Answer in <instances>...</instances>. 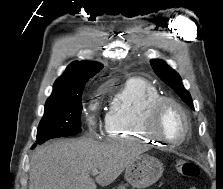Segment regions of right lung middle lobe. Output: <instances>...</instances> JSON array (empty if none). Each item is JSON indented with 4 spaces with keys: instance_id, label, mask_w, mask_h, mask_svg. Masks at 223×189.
Here are the masks:
<instances>
[{
    "instance_id": "1",
    "label": "right lung middle lobe",
    "mask_w": 223,
    "mask_h": 189,
    "mask_svg": "<svg viewBox=\"0 0 223 189\" xmlns=\"http://www.w3.org/2000/svg\"><path fill=\"white\" fill-rule=\"evenodd\" d=\"M82 92L71 95H51L45 104L38 126L37 144L50 138L75 135L81 132Z\"/></svg>"
}]
</instances>
